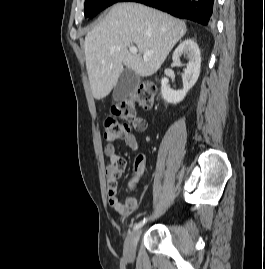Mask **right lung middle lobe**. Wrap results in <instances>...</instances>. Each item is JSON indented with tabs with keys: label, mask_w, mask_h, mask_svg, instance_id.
Listing matches in <instances>:
<instances>
[{
	"label": "right lung middle lobe",
	"mask_w": 265,
	"mask_h": 269,
	"mask_svg": "<svg viewBox=\"0 0 265 269\" xmlns=\"http://www.w3.org/2000/svg\"><path fill=\"white\" fill-rule=\"evenodd\" d=\"M123 1L125 0H85V17L92 18L110 5Z\"/></svg>",
	"instance_id": "1"
}]
</instances>
